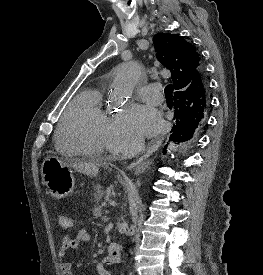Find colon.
I'll return each mask as SVG.
<instances>
[{
  "label": "colon",
  "instance_id": "5ec220e1",
  "mask_svg": "<svg viewBox=\"0 0 263 275\" xmlns=\"http://www.w3.org/2000/svg\"><path fill=\"white\" fill-rule=\"evenodd\" d=\"M58 223H59L60 227L64 230H69L73 226L72 218L65 214L59 215Z\"/></svg>",
  "mask_w": 263,
  "mask_h": 275
}]
</instances>
